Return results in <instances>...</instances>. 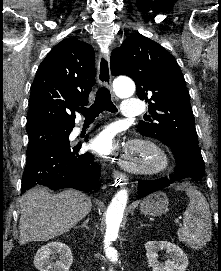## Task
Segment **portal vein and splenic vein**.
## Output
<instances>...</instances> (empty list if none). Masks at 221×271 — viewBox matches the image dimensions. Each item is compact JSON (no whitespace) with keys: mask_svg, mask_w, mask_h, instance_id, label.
Returning a JSON list of instances; mask_svg holds the SVG:
<instances>
[{"mask_svg":"<svg viewBox=\"0 0 221 271\" xmlns=\"http://www.w3.org/2000/svg\"><path fill=\"white\" fill-rule=\"evenodd\" d=\"M175 218L178 216L176 213L173 215ZM176 223H179V219H175Z\"/></svg>","mask_w":221,"mask_h":271,"instance_id":"obj_1","label":"portal vein and splenic vein"}]
</instances>
